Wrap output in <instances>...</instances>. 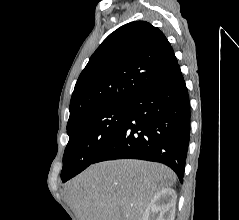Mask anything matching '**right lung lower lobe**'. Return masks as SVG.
Wrapping results in <instances>:
<instances>
[{"label":"right lung lower lobe","instance_id":"98d812e1","mask_svg":"<svg viewBox=\"0 0 239 220\" xmlns=\"http://www.w3.org/2000/svg\"><path fill=\"white\" fill-rule=\"evenodd\" d=\"M189 135V96L177 64L128 103L124 122L93 163L114 159L160 162L183 182Z\"/></svg>","mask_w":239,"mask_h":220}]
</instances>
